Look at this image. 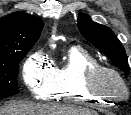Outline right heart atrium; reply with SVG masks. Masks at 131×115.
Masks as SVG:
<instances>
[{"label":"right heart atrium","instance_id":"obj_1","mask_svg":"<svg viewBox=\"0 0 131 115\" xmlns=\"http://www.w3.org/2000/svg\"><path fill=\"white\" fill-rule=\"evenodd\" d=\"M23 81L32 95L41 100L49 99L56 90V70L41 51L31 53L23 63Z\"/></svg>","mask_w":131,"mask_h":115}]
</instances>
